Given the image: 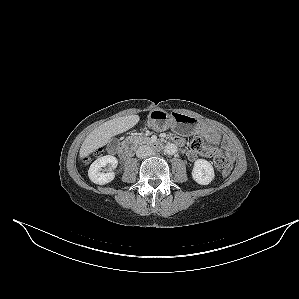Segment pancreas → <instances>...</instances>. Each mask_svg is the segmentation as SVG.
<instances>
[{
	"instance_id": "obj_1",
	"label": "pancreas",
	"mask_w": 299,
	"mask_h": 299,
	"mask_svg": "<svg viewBox=\"0 0 299 299\" xmlns=\"http://www.w3.org/2000/svg\"><path fill=\"white\" fill-rule=\"evenodd\" d=\"M132 141L136 144L147 143L149 142V138L139 135V136L132 137Z\"/></svg>"
}]
</instances>
